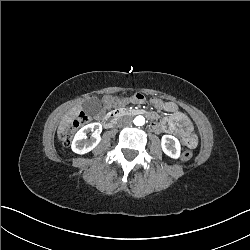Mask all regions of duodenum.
Wrapping results in <instances>:
<instances>
[{
	"label": "duodenum",
	"mask_w": 250,
	"mask_h": 250,
	"mask_svg": "<svg viewBox=\"0 0 250 250\" xmlns=\"http://www.w3.org/2000/svg\"><path fill=\"white\" fill-rule=\"evenodd\" d=\"M136 115L150 117V113L143 109L128 110L123 108H116L107 113L103 120V126L105 129H112L115 126L116 122L123 116L133 117Z\"/></svg>",
	"instance_id": "410a0bca"
}]
</instances>
